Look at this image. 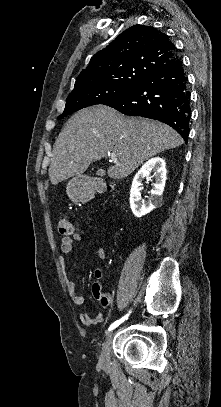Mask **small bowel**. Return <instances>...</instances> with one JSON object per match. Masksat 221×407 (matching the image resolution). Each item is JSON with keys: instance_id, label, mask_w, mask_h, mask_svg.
<instances>
[{"instance_id": "small-bowel-1", "label": "small bowel", "mask_w": 221, "mask_h": 407, "mask_svg": "<svg viewBox=\"0 0 221 407\" xmlns=\"http://www.w3.org/2000/svg\"><path fill=\"white\" fill-rule=\"evenodd\" d=\"M83 240V236L80 233H74L71 237H63L60 242V250L61 255L58 257V261L63 267L65 264V258L63 255H69L73 249V242H80ZM97 256L99 259L103 260L106 258V254L103 248H97L96 250ZM94 281L92 283V297L98 303L109 302L110 297L102 291L100 285V279L102 277V272L100 269H94L92 271ZM64 275V283L67 292L70 295L71 301L74 305L80 306L84 303V297L77 291L76 282L69 278L65 270H63ZM100 286L99 290H96V287ZM79 320L84 325H97L103 321V317L101 314H97L94 317H90L85 313H79Z\"/></svg>"}]
</instances>
